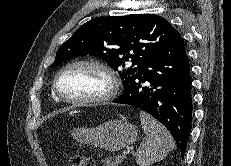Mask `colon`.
Wrapping results in <instances>:
<instances>
[{"label": "colon", "mask_w": 231, "mask_h": 166, "mask_svg": "<svg viewBox=\"0 0 231 166\" xmlns=\"http://www.w3.org/2000/svg\"><path fill=\"white\" fill-rule=\"evenodd\" d=\"M68 165L69 166H95L93 160L79 155H70L68 157Z\"/></svg>", "instance_id": "5ec220e1"}]
</instances>
